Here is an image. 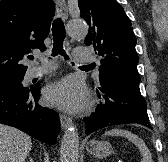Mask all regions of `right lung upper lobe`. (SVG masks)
<instances>
[{
  "instance_id": "1",
  "label": "right lung upper lobe",
  "mask_w": 168,
  "mask_h": 162,
  "mask_svg": "<svg viewBox=\"0 0 168 162\" xmlns=\"http://www.w3.org/2000/svg\"><path fill=\"white\" fill-rule=\"evenodd\" d=\"M55 8L52 0H0V76L25 73L31 49H46Z\"/></svg>"
}]
</instances>
